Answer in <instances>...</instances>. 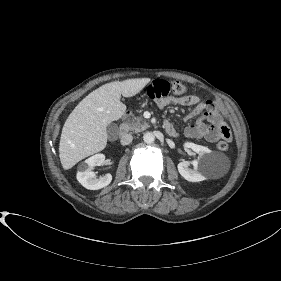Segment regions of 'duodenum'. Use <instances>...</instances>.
<instances>
[{"label": "duodenum", "instance_id": "duodenum-1", "mask_svg": "<svg viewBox=\"0 0 281 281\" xmlns=\"http://www.w3.org/2000/svg\"><path fill=\"white\" fill-rule=\"evenodd\" d=\"M129 116H130V113H127L124 116V118H123V120L120 124V127H119V135L120 136L125 135L128 132V128H129L128 127V118H129Z\"/></svg>", "mask_w": 281, "mask_h": 281}]
</instances>
